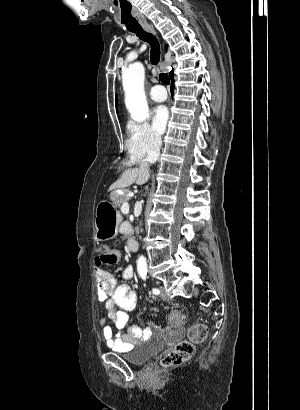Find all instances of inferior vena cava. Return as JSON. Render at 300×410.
Segmentation results:
<instances>
[{
    "label": "inferior vena cava",
    "instance_id": "602c4592",
    "mask_svg": "<svg viewBox=\"0 0 300 410\" xmlns=\"http://www.w3.org/2000/svg\"><path fill=\"white\" fill-rule=\"evenodd\" d=\"M162 144L161 137L159 135H155L153 138V147L148 152L147 157L141 161L140 168L141 169H149L152 163H155L159 157V151Z\"/></svg>",
    "mask_w": 300,
    "mask_h": 410
}]
</instances>
